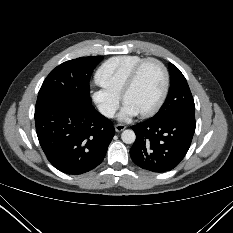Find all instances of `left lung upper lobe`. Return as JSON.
Returning a JSON list of instances; mask_svg holds the SVG:
<instances>
[{
  "label": "left lung upper lobe",
  "instance_id": "1",
  "mask_svg": "<svg viewBox=\"0 0 233 233\" xmlns=\"http://www.w3.org/2000/svg\"><path fill=\"white\" fill-rule=\"evenodd\" d=\"M171 87L161 109L151 119L162 120L178 113H195V104L187 81L181 71L169 63Z\"/></svg>",
  "mask_w": 233,
  "mask_h": 233
}]
</instances>
